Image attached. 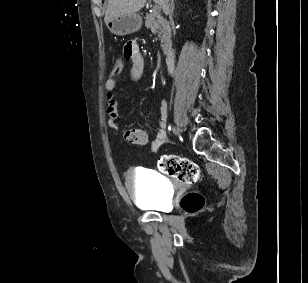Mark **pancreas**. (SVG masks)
I'll return each instance as SVG.
<instances>
[{
  "mask_svg": "<svg viewBox=\"0 0 308 283\" xmlns=\"http://www.w3.org/2000/svg\"><path fill=\"white\" fill-rule=\"evenodd\" d=\"M145 26L153 33L158 34L164 54H168L171 49V28L169 22L161 15L160 11L154 10L145 17Z\"/></svg>",
  "mask_w": 308,
  "mask_h": 283,
  "instance_id": "obj_1",
  "label": "pancreas"
}]
</instances>
